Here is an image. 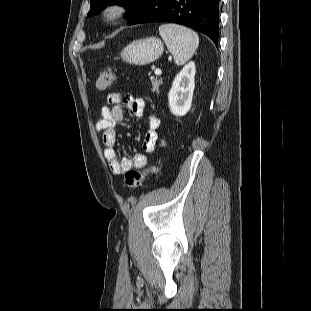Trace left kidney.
I'll return each mask as SVG.
<instances>
[{"label": "left kidney", "instance_id": "left-kidney-1", "mask_svg": "<svg viewBox=\"0 0 311 311\" xmlns=\"http://www.w3.org/2000/svg\"><path fill=\"white\" fill-rule=\"evenodd\" d=\"M195 73V63L191 61L176 75L172 83L168 100L170 111L176 116H184L191 108Z\"/></svg>", "mask_w": 311, "mask_h": 311}]
</instances>
